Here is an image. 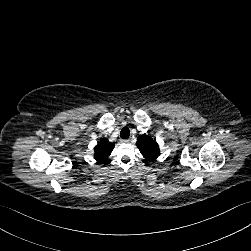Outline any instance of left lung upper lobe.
Segmentation results:
<instances>
[{
  "mask_svg": "<svg viewBox=\"0 0 251 251\" xmlns=\"http://www.w3.org/2000/svg\"><path fill=\"white\" fill-rule=\"evenodd\" d=\"M136 145L147 161L155 160L160 155L157 142L146 134L138 136Z\"/></svg>",
  "mask_w": 251,
  "mask_h": 251,
  "instance_id": "left-lung-upper-lobe-1",
  "label": "left lung upper lobe"
}]
</instances>
